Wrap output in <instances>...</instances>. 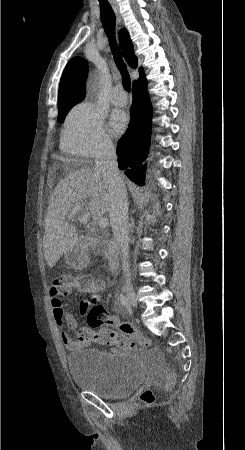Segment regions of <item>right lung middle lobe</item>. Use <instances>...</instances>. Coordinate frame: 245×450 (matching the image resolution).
I'll list each match as a JSON object with an SVG mask.
<instances>
[{
    "label": "right lung middle lobe",
    "instance_id": "right-lung-middle-lobe-1",
    "mask_svg": "<svg viewBox=\"0 0 245 450\" xmlns=\"http://www.w3.org/2000/svg\"><path fill=\"white\" fill-rule=\"evenodd\" d=\"M76 103H68L64 104L62 106L58 107L59 114H58V120L59 122H62L67 112L70 110L71 107H73Z\"/></svg>",
    "mask_w": 245,
    "mask_h": 450
}]
</instances>
